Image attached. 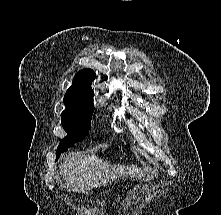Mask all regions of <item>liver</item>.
<instances>
[{
	"label": "liver",
	"mask_w": 221,
	"mask_h": 215,
	"mask_svg": "<svg viewBox=\"0 0 221 215\" xmlns=\"http://www.w3.org/2000/svg\"><path fill=\"white\" fill-rule=\"evenodd\" d=\"M59 173L65 187L74 192L86 191L87 194L91 188L107 186L111 180L119 181V177H142L136 165H110L107 160L82 152H72L64 157Z\"/></svg>",
	"instance_id": "liver-1"
}]
</instances>
